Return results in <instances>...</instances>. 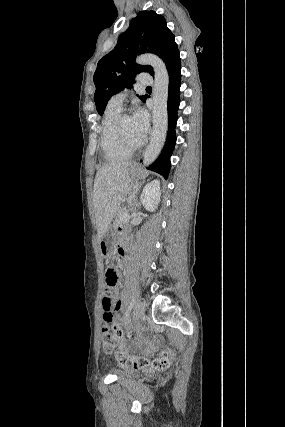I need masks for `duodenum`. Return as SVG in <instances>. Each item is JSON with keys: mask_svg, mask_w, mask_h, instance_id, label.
I'll return each instance as SVG.
<instances>
[{"mask_svg": "<svg viewBox=\"0 0 285 427\" xmlns=\"http://www.w3.org/2000/svg\"><path fill=\"white\" fill-rule=\"evenodd\" d=\"M128 251H129V245H128V243L126 241L122 242L119 245V253H120L121 257H123Z\"/></svg>", "mask_w": 285, "mask_h": 427, "instance_id": "1", "label": "duodenum"}]
</instances>
